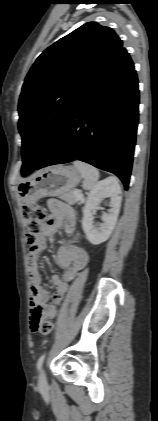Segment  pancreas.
<instances>
[{
	"label": "pancreas",
	"mask_w": 158,
	"mask_h": 421,
	"mask_svg": "<svg viewBox=\"0 0 158 421\" xmlns=\"http://www.w3.org/2000/svg\"><path fill=\"white\" fill-rule=\"evenodd\" d=\"M74 192L75 191H70V192H68V193H65L63 196H62V198H63V200H65L66 202H68L69 204H75V203H77V204H82V203H84L85 202V199L84 198H77L75 195H74Z\"/></svg>",
	"instance_id": "obj_1"
}]
</instances>
